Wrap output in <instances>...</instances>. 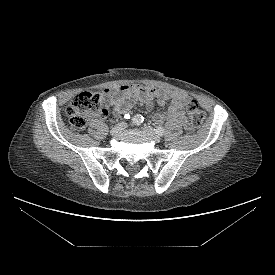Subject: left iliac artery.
<instances>
[{"label": "left iliac artery", "instance_id": "left-iliac-artery-1", "mask_svg": "<svg viewBox=\"0 0 275 275\" xmlns=\"http://www.w3.org/2000/svg\"><path fill=\"white\" fill-rule=\"evenodd\" d=\"M155 130L158 135H163L165 133L164 128L161 126H157Z\"/></svg>", "mask_w": 275, "mask_h": 275}]
</instances>
